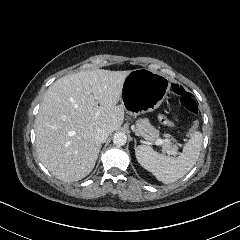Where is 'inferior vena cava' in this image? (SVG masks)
Segmentation results:
<instances>
[{
    "label": "inferior vena cava",
    "mask_w": 240,
    "mask_h": 240,
    "mask_svg": "<svg viewBox=\"0 0 240 240\" xmlns=\"http://www.w3.org/2000/svg\"><path fill=\"white\" fill-rule=\"evenodd\" d=\"M109 134H110V132L108 130L100 128L97 130L95 139L97 141H99L100 143H104L106 141V139L108 138Z\"/></svg>",
    "instance_id": "602c4592"
}]
</instances>
